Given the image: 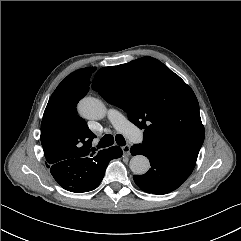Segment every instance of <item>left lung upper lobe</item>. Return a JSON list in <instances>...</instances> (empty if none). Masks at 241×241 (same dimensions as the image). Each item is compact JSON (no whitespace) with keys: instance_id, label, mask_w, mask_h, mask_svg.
Masks as SVG:
<instances>
[{"instance_id":"1","label":"left lung upper lobe","mask_w":241,"mask_h":241,"mask_svg":"<svg viewBox=\"0 0 241 241\" xmlns=\"http://www.w3.org/2000/svg\"><path fill=\"white\" fill-rule=\"evenodd\" d=\"M92 88L144 129L141 145L196 164L205 131L192 89L159 60L146 56L100 69Z\"/></svg>"}]
</instances>
